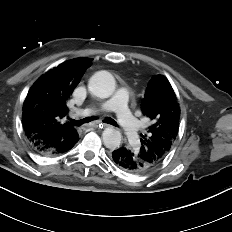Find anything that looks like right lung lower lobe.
<instances>
[{"instance_id": "98d812e1", "label": "right lung lower lobe", "mask_w": 232, "mask_h": 232, "mask_svg": "<svg viewBox=\"0 0 232 232\" xmlns=\"http://www.w3.org/2000/svg\"><path fill=\"white\" fill-rule=\"evenodd\" d=\"M78 141V139L75 141V142H72V144L70 145V146H68V149L65 151V152H67V151H69L74 145H75V143ZM55 151H44V152H38V153H40V154H42V155H56L55 153H54ZM64 152V153H65Z\"/></svg>"}]
</instances>
